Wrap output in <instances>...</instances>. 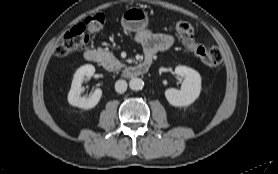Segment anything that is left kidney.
Here are the masks:
<instances>
[{"mask_svg":"<svg viewBox=\"0 0 278 174\" xmlns=\"http://www.w3.org/2000/svg\"><path fill=\"white\" fill-rule=\"evenodd\" d=\"M175 73L183 78L181 89H167L165 91V97L173 106L181 107L191 105L200 95V74L196 70L186 66H177Z\"/></svg>","mask_w":278,"mask_h":174,"instance_id":"left-kidney-1","label":"left kidney"}]
</instances>
